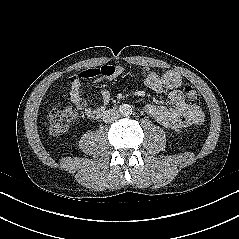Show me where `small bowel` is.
Masks as SVG:
<instances>
[{
  "mask_svg": "<svg viewBox=\"0 0 239 239\" xmlns=\"http://www.w3.org/2000/svg\"><path fill=\"white\" fill-rule=\"evenodd\" d=\"M124 73L122 66L105 65L98 69L81 70L69 79V97L71 103L80 110H83L87 117L94 116L95 112L104 109L110 101L109 91H99L101 104L96 108L89 106L82 95V82L93 80L96 83L118 79ZM145 85L151 90L162 93L166 92L171 106L148 103L145 105V112L155 119L162 126L169 129H182L200 125L203 122L204 114L202 109L194 104L185 101L184 94L180 89L182 78L175 72L158 74L145 68Z\"/></svg>",
  "mask_w": 239,
  "mask_h": 239,
  "instance_id": "small-bowel-1",
  "label": "small bowel"
}]
</instances>
